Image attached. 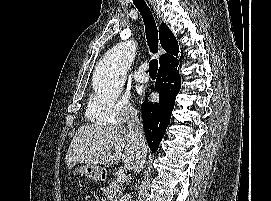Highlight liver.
<instances>
[{"label": "liver", "mask_w": 271, "mask_h": 201, "mask_svg": "<svg viewBox=\"0 0 271 201\" xmlns=\"http://www.w3.org/2000/svg\"><path fill=\"white\" fill-rule=\"evenodd\" d=\"M137 146L124 126L84 125L78 128L68 148V168L78 163L116 164L122 159L128 170L134 169Z\"/></svg>", "instance_id": "obj_1"}]
</instances>
